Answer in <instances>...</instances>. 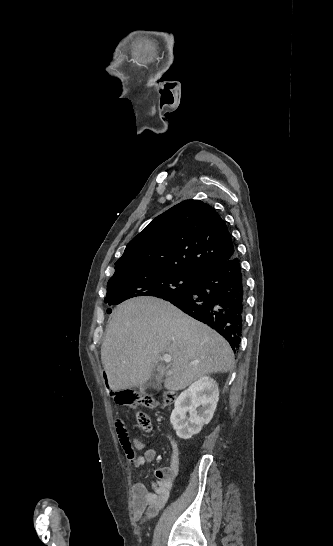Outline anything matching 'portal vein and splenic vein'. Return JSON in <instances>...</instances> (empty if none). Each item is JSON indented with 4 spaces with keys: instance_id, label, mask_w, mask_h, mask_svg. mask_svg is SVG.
Listing matches in <instances>:
<instances>
[{
    "instance_id": "18ae733b",
    "label": "portal vein and splenic vein",
    "mask_w": 333,
    "mask_h": 546,
    "mask_svg": "<svg viewBox=\"0 0 333 546\" xmlns=\"http://www.w3.org/2000/svg\"><path fill=\"white\" fill-rule=\"evenodd\" d=\"M162 359L166 362V363H170L171 362V356L169 354H164L162 356Z\"/></svg>"
}]
</instances>
